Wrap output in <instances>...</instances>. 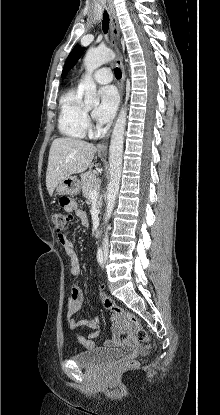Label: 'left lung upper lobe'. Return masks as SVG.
I'll list each match as a JSON object with an SVG mask.
<instances>
[{
	"label": "left lung upper lobe",
	"instance_id": "obj_1",
	"mask_svg": "<svg viewBox=\"0 0 220 415\" xmlns=\"http://www.w3.org/2000/svg\"><path fill=\"white\" fill-rule=\"evenodd\" d=\"M83 51H84V48H82L79 44L73 48V50L71 51V53L69 54L65 62L63 72H62V77H65L67 72L76 64V62L82 55Z\"/></svg>",
	"mask_w": 220,
	"mask_h": 415
}]
</instances>
